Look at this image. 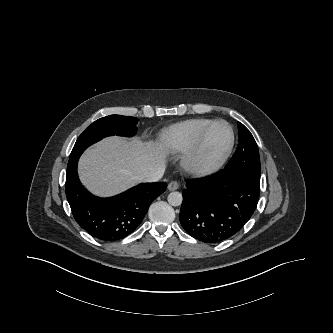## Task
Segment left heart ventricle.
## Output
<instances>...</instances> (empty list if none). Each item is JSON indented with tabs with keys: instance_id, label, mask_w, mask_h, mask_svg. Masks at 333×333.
Returning a JSON list of instances; mask_svg holds the SVG:
<instances>
[{
	"instance_id": "obj_1",
	"label": "left heart ventricle",
	"mask_w": 333,
	"mask_h": 333,
	"mask_svg": "<svg viewBox=\"0 0 333 333\" xmlns=\"http://www.w3.org/2000/svg\"><path fill=\"white\" fill-rule=\"evenodd\" d=\"M229 130L223 124L215 125L210 131L206 143L201 151L200 159L203 163H211L221 156L229 143Z\"/></svg>"
}]
</instances>
